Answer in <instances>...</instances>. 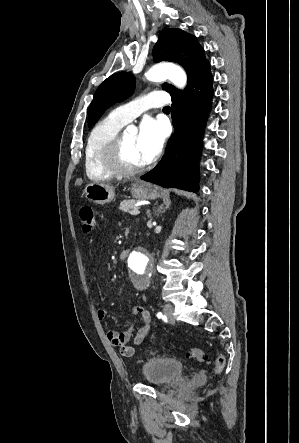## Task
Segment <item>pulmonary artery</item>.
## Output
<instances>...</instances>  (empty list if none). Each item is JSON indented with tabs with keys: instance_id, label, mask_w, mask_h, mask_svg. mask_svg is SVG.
<instances>
[{
	"instance_id": "pulmonary-artery-1",
	"label": "pulmonary artery",
	"mask_w": 299,
	"mask_h": 443,
	"mask_svg": "<svg viewBox=\"0 0 299 443\" xmlns=\"http://www.w3.org/2000/svg\"><path fill=\"white\" fill-rule=\"evenodd\" d=\"M170 96L165 92L151 91L133 101L113 109L110 116L124 124L131 122L142 112L155 107L168 105Z\"/></svg>"
}]
</instances>
